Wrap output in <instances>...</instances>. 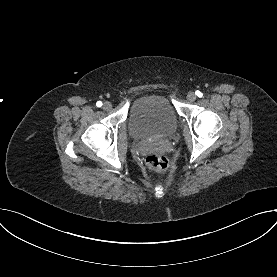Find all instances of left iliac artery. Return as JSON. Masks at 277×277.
<instances>
[{"label": "left iliac artery", "instance_id": "1", "mask_svg": "<svg viewBox=\"0 0 277 277\" xmlns=\"http://www.w3.org/2000/svg\"><path fill=\"white\" fill-rule=\"evenodd\" d=\"M198 97H202V93L200 91H196L195 93Z\"/></svg>", "mask_w": 277, "mask_h": 277}]
</instances>
